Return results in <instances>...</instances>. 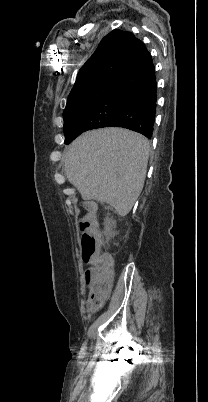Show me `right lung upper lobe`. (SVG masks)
<instances>
[{
    "mask_svg": "<svg viewBox=\"0 0 208 402\" xmlns=\"http://www.w3.org/2000/svg\"><path fill=\"white\" fill-rule=\"evenodd\" d=\"M144 45L126 31L115 29L106 35L87 62L80 68L69 96L112 81Z\"/></svg>",
    "mask_w": 208,
    "mask_h": 402,
    "instance_id": "cb5924a9",
    "label": "right lung upper lobe"
}]
</instances>
